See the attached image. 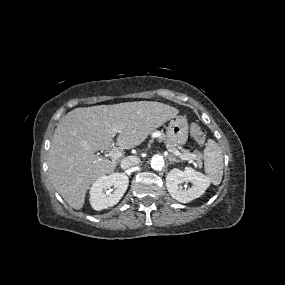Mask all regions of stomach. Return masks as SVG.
I'll return each instance as SVG.
<instances>
[{"mask_svg":"<svg viewBox=\"0 0 285 285\" xmlns=\"http://www.w3.org/2000/svg\"><path fill=\"white\" fill-rule=\"evenodd\" d=\"M188 139V123L183 116L171 118L166 132V141L175 147L182 146Z\"/></svg>","mask_w":285,"mask_h":285,"instance_id":"0dacf381","label":"stomach"}]
</instances>
